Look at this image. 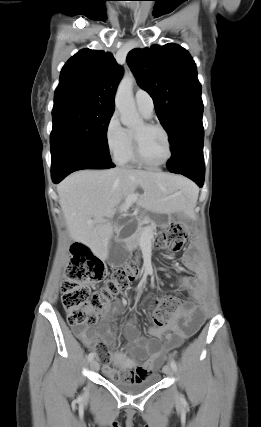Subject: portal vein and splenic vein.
<instances>
[{"mask_svg": "<svg viewBox=\"0 0 261 427\" xmlns=\"http://www.w3.org/2000/svg\"><path fill=\"white\" fill-rule=\"evenodd\" d=\"M137 199H138V195L137 194H131V195H129L126 198L125 202L119 207V210L121 212H126L129 209V207L132 205V203H134V202L137 201ZM88 223L89 224H93V221L89 220Z\"/></svg>", "mask_w": 261, "mask_h": 427, "instance_id": "18ae733b", "label": "portal vein and splenic vein"}]
</instances>
